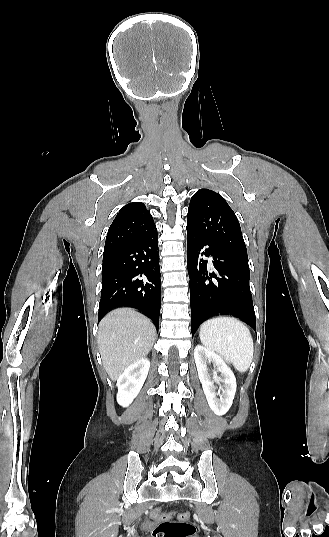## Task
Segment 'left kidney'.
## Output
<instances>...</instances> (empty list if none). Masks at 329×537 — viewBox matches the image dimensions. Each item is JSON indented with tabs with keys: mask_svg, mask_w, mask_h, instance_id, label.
<instances>
[{
	"mask_svg": "<svg viewBox=\"0 0 329 537\" xmlns=\"http://www.w3.org/2000/svg\"><path fill=\"white\" fill-rule=\"evenodd\" d=\"M194 358L198 376L209 407L218 416L226 414L232 405L236 393L237 385L234 373L221 356L206 349L202 345L195 347ZM207 362H212L214 367H216L213 380L208 372ZM217 372H221V377L217 376ZM214 382L219 385L218 393H216L217 387L214 386Z\"/></svg>",
	"mask_w": 329,
	"mask_h": 537,
	"instance_id": "1",
	"label": "left kidney"
}]
</instances>
